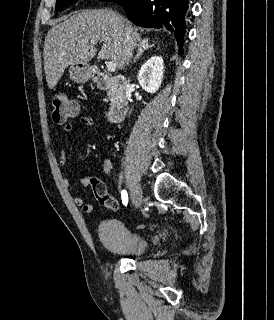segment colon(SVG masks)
<instances>
[{"mask_svg": "<svg viewBox=\"0 0 274 320\" xmlns=\"http://www.w3.org/2000/svg\"><path fill=\"white\" fill-rule=\"evenodd\" d=\"M52 119L57 124L71 127L72 123L78 118V105L69 99L65 91H58L52 97ZM95 181L94 175L88 176V185L95 193H99V199L104 207L112 211H119L120 204L107 193V187L104 182Z\"/></svg>", "mask_w": 274, "mask_h": 320, "instance_id": "colon-1", "label": "colon"}]
</instances>
